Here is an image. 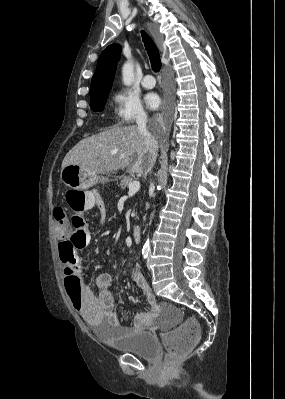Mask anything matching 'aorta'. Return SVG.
Wrapping results in <instances>:
<instances>
[{
	"label": "aorta",
	"mask_w": 285,
	"mask_h": 399,
	"mask_svg": "<svg viewBox=\"0 0 285 399\" xmlns=\"http://www.w3.org/2000/svg\"><path fill=\"white\" fill-rule=\"evenodd\" d=\"M122 80L124 85L130 86L133 83L134 80V71H133V65L131 62H126L123 67H122ZM153 217V214H151V218ZM145 247L149 246V239L146 240L145 242Z\"/></svg>",
	"instance_id": "1"
}]
</instances>
